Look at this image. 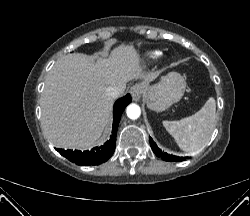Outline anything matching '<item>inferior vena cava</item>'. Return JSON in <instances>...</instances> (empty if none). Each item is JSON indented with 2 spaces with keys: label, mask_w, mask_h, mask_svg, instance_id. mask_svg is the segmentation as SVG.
I'll list each match as a JSON object with an SVG mask.
<instances>
[{
  "label": "inferior vena cava",
  "mask_w": 250,
  "mask_h": 216,
  "mask_svg": "<svg viewBox=\"0 0 250 216\" xmlns=\"http://www.w3.org/2000/svg\"><path fill=\"white\" fill-rule=\"evenodd\" d=\"M122 94V90L118 87L111 86L107 88V95L112 98H117Z\"/></svg>",
  "instance_id": "obj_1"
}]
</instances>
